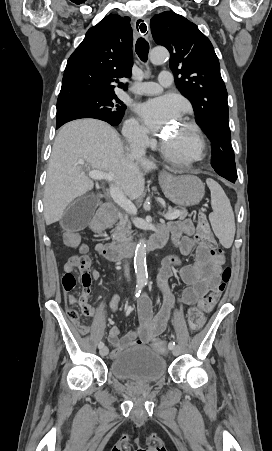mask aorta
I'll return each mask as SVG.
<instances>
[{"mask_svg":"<svg viewBox=\"0 0 272 451\" xmlns=\"http://www.w3.org/2000/svg\"><path fill=\"white\" fill-rule=\"evenodd\" d=\"M149 60L154 66L165 64L169 60V52L166 48H153L149 54ZM134 267L137 281H146L148 277L146 265V241L139 239L134 255Z\"/></svg>","mask_w":272,"mask_h":451,"instance_id":"aorta-1","label":"aorta"}]
</instances>
